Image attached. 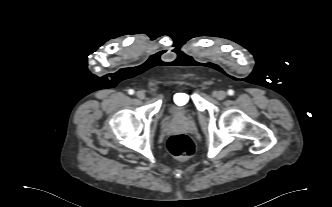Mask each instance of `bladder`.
I'll return each instance as SVG.
<instances>
[{
  "instance_id": "obj_1",
  "label": "bladder",
  "mask_w": 332,
  "mask_h": 207,
  "mask_svg": "<svg viewBox=\"0 0 332 207\" xmlns=\"http://www.w3.org/2000/svg\"><path fill=\"white\" fill-rule=\"evenodd\" d=\"M175 92H170L167 95L165 103V112L171 116H178L185 109L186 105H179L175 101Z\"/></svg>"
}]
</instances>
